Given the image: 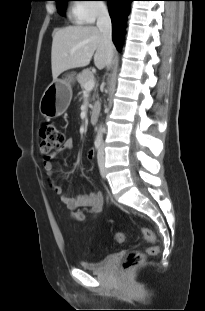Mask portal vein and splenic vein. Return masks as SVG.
<instances>
[{"instance_id": "1", "label": "portal vein and splenic vein", "mask_w": 205, "mask_h": 311, "mask_svg": "<svg viewBox=\"0 0 205 311\" xmlns=\"http://www.w3.org/2000/svg\"><path fill=\"white\" fill-rule=\"evenodd\" d=\"M94 86H95V81H94V79H91L88 82H86L84 89L86 91H89V90H92L94 88Z\"/></svg>"}]
</instances>
